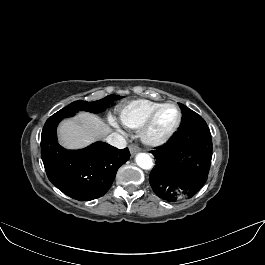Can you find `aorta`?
<instances>
[{
	"mask_svg": "<svg viewBox=\"0 0 265 265\" xmlns=\"http://www.w3.org/2000/svg\"><path fill=\"white\" fill-rule=\"evenodd\" d=\"M135 161L136 164L144 170H150L154 165L153 159L146 153H138L135 157Z\"/></svg>",
	"mask_w": 265,
	"mask_h": 265,
	"instance_id": "1",
	"label": "aorta"
}]
</instances>
